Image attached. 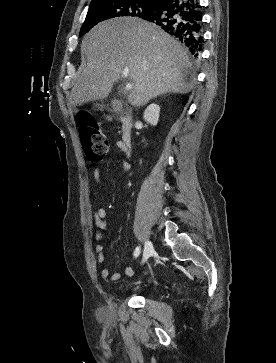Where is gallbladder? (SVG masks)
Here are the masks:
<instances>
[{
	"mask_svg": "<svg viewBox=\"0 0 276 363\" xmlns=\"http://www.w3.org/2000/svg\"><path fill=\"white\" fill-rule=\"evenodd\" d=\"M120 106L121 102L119 100L116 99L112 100L111 107L113 108V110L115 111L119 110Z\"/></svg>",
	"mask_w": 276,
	"mask_h": 363,
	"instance_id": "obj_1",
	"label": "gallbladder"
}]
</instances>
